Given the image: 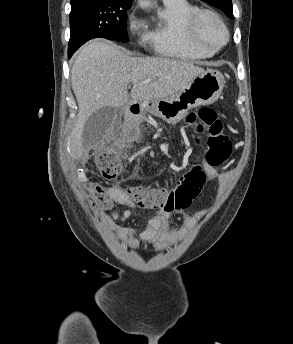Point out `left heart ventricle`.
<instances>
[{"instance_id":"obj_1","label":"left heart ventricle","mask_w":293,"mask_h":344,"mask_svg":"<svg viewBox=\"0 0 293 344\" xmlns=\"http://www.w3.org/2000/svg\"><path fill=\"white\" fill-rule=\"evenodd\" d=\"M199 32L203 42L210 47H216L224 41L222 28L210 18L201 21Z\"/></svg>"}]
</instances>
